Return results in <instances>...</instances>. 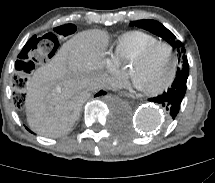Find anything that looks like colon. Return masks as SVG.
<instances>
[{"mask_svg": "<svg viewBox=\"0 0 215 183\" xmlns=\"http://www.w3.org/2000/svg\"><path fill=\"white\" fill-rule=\"evenodd\" d=\"M74 32L75 26L73 24L64 23L57 25L52 33H42L28 41L18 63V73L13 77L15 97L19 103H23L24 100L22 89L27 83L28 75L37 64L51 59L55 55L60 41L71 37Z\"/></svg>", "mask_w": 215, "mask_h": 183, "instance_id": "colon-1", "label": "colon"}]
</instances>
